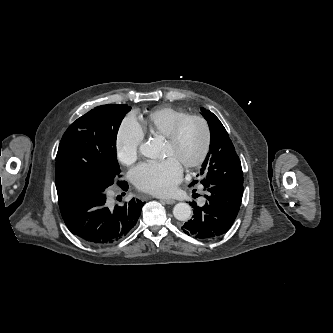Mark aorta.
I'll return each instance as SVG.
<instances>
[{"mask_svg":"<svg viewBox=\"0 0 333 333\" xmlns=\"http://www.w3.org/2000/svg\"><path fill=\"white\" fill-rule=\"evenodd\" d=\"M140 153L148 158L154 159L158 155V149L152 141L140 145ZM173 215L177 220L187 221L191 216V207L187 203H178L173 208Z\"/></svg>","mask_w":333,"mask_h":333,"instance_id":"aorta-1","label":"aorta"}]
</instances>
